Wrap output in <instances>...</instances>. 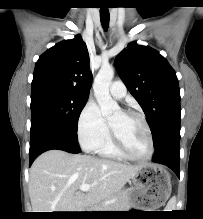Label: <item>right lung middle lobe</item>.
Segmentation results:
<instances>
[{"label":"right lung middle lobe","instance_id":"obj_1","mask_svg":"<svg viewBox=\"0 0 203 219\" xmlns=\"http://www.w3.org/2000/svg\"><path fill=\"white\" fill-rule=\"evenodd\" d=\"M31 87V132L42 128L77 143V123L88 96L52 85Z\"/></svg>","mask_w":203,"mask_h":219}]
</instances>
